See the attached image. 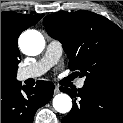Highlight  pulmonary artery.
Wrapping results in <instances>:
<instances>
[{
  "instance_id": "pulmonary-artery-1",
  "label": "pulmonary artery",
  "mask_w": 123,
  "mask_h": 123,
  "mask_svg": "<svg viewBox=\"0 0 123 123\" xmlns=\"http://www.w3.org/2000/svg\"><path fill=\"white\" fill-rule=\"evenodd\" d=\"M62 52V44L58 40H51L48 43L45 53L40 60L18 71V79L24 81L30 78H36L43 75L52 66L57 64L62 55ZM83 86L84 80H78L77 87L82 88Z\"/></svg>"
}]
</instances>
